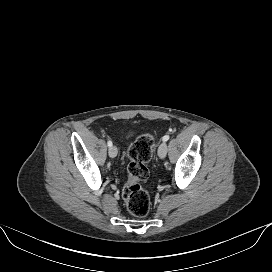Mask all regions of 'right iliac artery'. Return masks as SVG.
<instances>
[{"mask_svg": "<svg viewBox=\"0 0 272 272\" xmlns=\"http://www.w3.org/2000/svg\"><path fill=\"white\" fill-rule=\"evenodd\" d=\"M107 145H108L109 147H111V146H112V142L109 140V141L107 142Z\"/></svg>", "mask_w": 272, "mask_h": 272, "instance_id": "1", "label": "right iliac artery"}]
</instances>
